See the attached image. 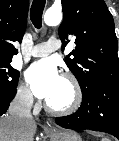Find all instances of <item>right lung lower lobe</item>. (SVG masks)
<instances>
[{"mask_svg":"<svg viewBox=\"0 0 119 141\" xmlns=\"http://www.w3.org/2000/svg\"><path fill=\"white\" fill-rule=\"evenodd\" d=\"M16 94V88L11 93L0 92V116L3 115Z\"/></svg>","mask_w":119,"mask_h":141,"instance_id":"98d812e1","label":"right lung lower lobe"}]
</instances>
